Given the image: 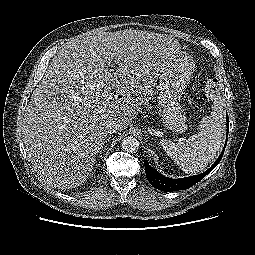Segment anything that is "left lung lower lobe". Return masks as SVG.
<instances>
[{
	"label": "left lung lower lobe",
	"instance_id": "1",
	"mask_svg": "<svg viewBox=\"0 0 255 255\" xmlns=\"http://www.w3.org/2000/svg\"><path fill=\"white\" fill-rule=\"evenodd\" d=\"M227 128L229 127V119L227 115ZM228 132V130H227ZM227 143V140H226ZM226 143L224 145V149L226 147ZM224 149L219 155L218 159L215 161V163L205 172L195 175V176H190V177H185V178H180V179H171L163 176L160 174L157 170L153 169L147 160H144V165H145V173L148 181L152 184V186L156 189H159L161 191L165 192H172V191H177V190H185L199 182L202 178H204L207 174L210 173V171L215 168V166L220 162L222 159Z\"/></svg>",
	"mask_w": 255,
	"mask_h": 255
}]
</instances>
